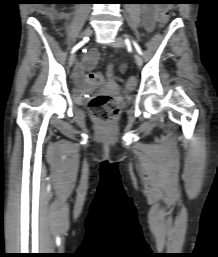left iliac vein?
Masks as SVG:
<instances>
[{
    "label": "left iliac vein",
    "mask_w": 218,
    "mask_h": 257,
    "mask_svg": "<svg viewBox=\"0 0 218 257\" xmlns=\"http://www.w3.org/2000/svg\"><path fill=\"white\" fill-rule=\"evenodd\" d=\"M112 45H113V47H117V48L124 47V46H125V40H124L123 37L118 36V37H116L115 40L113 41ZM135 61H136L137 65H138L139 67L142 66L143 61H142L141 56H140L138 53H135Z\"/></svg>",
    "instance_id": "4c4485c4"
}]
</instances>
